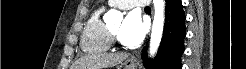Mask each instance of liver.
<instances>
[{"mask_svg":"<svg viewBox=\"0 0 246 69\" xmlns=\"http://www.w3.org/2000/svg\"><path fill=\"white\" fill-rule=\"evenodd\" d=\"M128 57L123 53H104L81 57L74 69H106L122 63Z\"/></svg>","mask_w":246,"mask_h":69,"instance_id":"obj_1","label":"liver"}]
</instances>
